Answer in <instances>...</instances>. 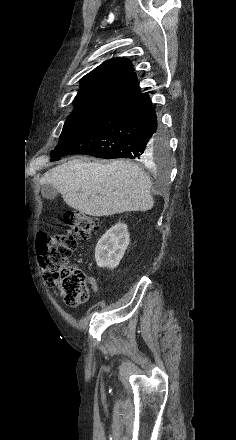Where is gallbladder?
<instances>
[{"label":"gallbladder","instance_id":"obj_1","mask_svg":"<svg viewBox=\"0 0 236 440\" xmlns=\"http://www.w3.org/2000/svg\"><path fill=\"white\" fill-rule=\"evenodd\" d=\"M42 196L47 200H54L58 196L57 189L51 184H44L41 189Z\"/></svg>","mask_w":236,"mask_h":440}]
</instances>
